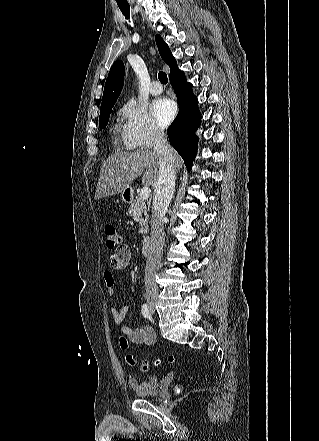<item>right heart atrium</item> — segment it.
<instances>
[{"mask_svg": "<svg viewBox=\"0 0 319 441\" xmlns=\"http://www.w3.org/2000/svg\"><path fill=\"white\" fill-rule=\"evenodd\" d=\"M119 115L123 120L121 137L126 149L147 150L163 139L162 128L144 106L128 101L120 108Z\"/></svg>", "mask_w": 319, "mask_h": 441, "instance_id": "d8ad5b80", "label": "right heart atrium"}]
</instances>
